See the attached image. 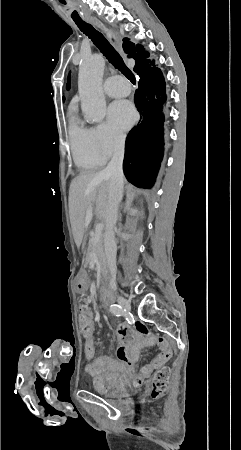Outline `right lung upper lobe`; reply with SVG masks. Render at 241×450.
<instances>
[{"label": "right lung upper lobe", "instance_id": "obj_1", "mask_svg": "<svg viewBox=\"0 0 241 450\" xmlns=\"http://www.w3.org/2000/svg\"><path fill=\"white\" fill-rule=\"evenodd\" d=\"M123 41V49L125 53L128 54V58H132L135 60L134 70L144 63L150 61L149 59H147L149 57V53L144 50L142 45H135L132 42H128L127 38H124Z\"/></svg>", "mask_w": 241, "mask_h": 450}]
</instances>
